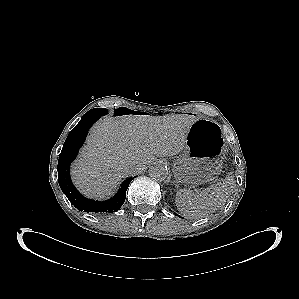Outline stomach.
<instances>
[{
    "mask_svg": "<svg viewBox=\"0 0 299 299\" xmlns=\"http://www.w3.org/2000/svg\"><path fill=\"white\" fill-rule=\"evenodd\" d=\"M225 141L215 121L199 118L190 127L183 154L173 164L175 176L194 185L212 181L222 169Z\"/></svg>",
    "mask_w": 299,
    "mask_h": 299,
    "instance_id": "0dacf381",
    "label": "stomach"
}]
</instances>
